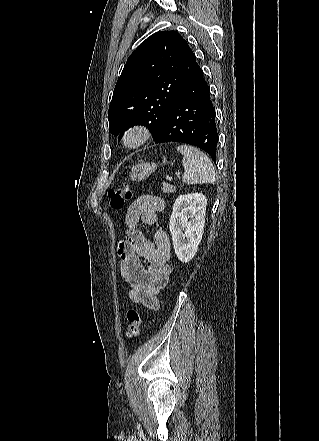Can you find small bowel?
I'll return each mask as SVG.
<instances>
[{"mask_svg":"<svg viewBox=\"0 0 319 441\" xmlns=\"http://www.w3.org/2000/svg\"><path fill=\"white\" fill-rule=\"evenodd\" d=\"M163 208L160 197H138L126 212L125 240L118 246L120 274L130 288L128 297L149 309L158 308V294L171 274L170 240L158 226V213ZM141 223L156 228L152 240L143 232Z\"/></svg>","mask_w":319,"mask_h":441,"instance_id":"obj_1","label":"small bowel"}]
</instances>
